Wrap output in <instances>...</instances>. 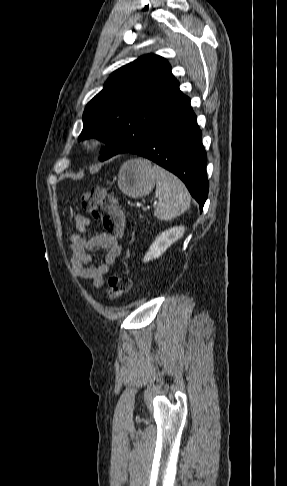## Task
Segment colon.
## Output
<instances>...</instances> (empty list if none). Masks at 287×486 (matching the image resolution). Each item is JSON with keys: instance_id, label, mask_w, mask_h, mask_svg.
Returning <instances> with one entry per match:
<instances>
[{"instance_id": "1", "label": "colon", "mask_w": 287, "mask_h": 486, "mask_svg": "<svg viewBox=\"0 0 287 486\" xmlns=\"http://www.w3.org/2000/svg\"><path fill=\"white\" fill-rule=\"evenodd\" d=\"M81 203L95 220L101 222L105 233L117 237L123 234L126 225L124 214L116 199L107 194L104 188L91 187L82 193ZM130 287L131 280L128 277L113 275L108 280V298L118 299L126 294Z\"/></svg>"}]
</instances>
